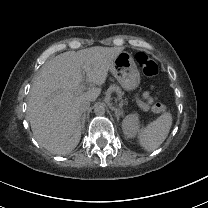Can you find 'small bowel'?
I'll return each mask as SVG.
<instances>
[{
    "label": "small bowel",
    "mask_w": 208,
    "mask_h": 208,
    "mask_svg": "<svg viewBox=\"0 0 208 208\" xmlns=\"http://www.w3.org/2000/svg\"><path fill=\"white\" fill-rule=\"evenodd\" d=\"M154 101V97H152L148 92H145L142 96L141 106L143 109H148L149 105Z\"/></svg>",
    "instance_id": "small-bowel-1"
}]
</instances>
